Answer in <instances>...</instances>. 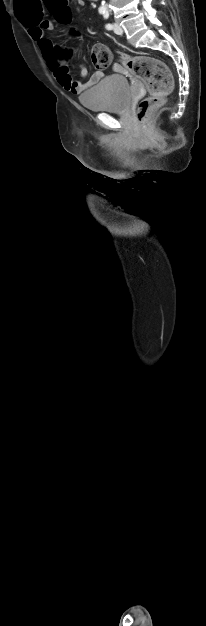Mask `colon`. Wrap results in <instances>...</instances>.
I'll return each mask as SVG.
<instances>
[{
  "label": "colon",
  "instance_id": "colon-1",
  "mask_svg": "<svg viewBox=\"0 0 206 626\" xmlns=\"http://www.w3.org/2000/svg\"><path fill=\"white\" fill-rule=\"evenodd\" d=\"M44 3L60 22L70 21L68 0H44ZM120 58L147 87L149 95L139 103L137 117L143 128L148 129L149 111L162 105L171 91V73L162 61L153 57L121 53ZM91 60L96 68L105 69L111 62V53L105 45L96 44L91 49Z\"/></svg>",
  "mask_w": 206,
  "mask_h": 626
}]
</instances>
